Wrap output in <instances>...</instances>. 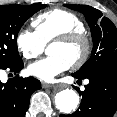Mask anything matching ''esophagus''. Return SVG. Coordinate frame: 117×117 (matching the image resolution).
Returning <instances> with one entry per match:
<instances>
[{
  "instance_id": "34e87169",
  "label": "esophagus",
  "mask_w": 117,
  "mask_h": 117,
  "mask_svg": "<svg viewBox=\"0 0 117 117\" xmlns=\"http://www.w3.org/2000/svg\"><path fill=\"white\" fill-rule=\"evenodd\" d=\"M42 87L43 88H52V87H54L53 85H51V84H48V83H42Z\"/></svg>"
}]
</instances>
